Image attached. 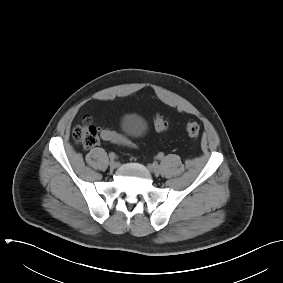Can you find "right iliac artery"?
Masks as SVG:
<instances>
[{
    "mask_svg": "<svg viewBox=\"0 0 283 283\" xmlns=\"http://www.w3.org/2000/svg\"><path fill=\"white\" fill-rule=\"evenodd\" d=\"M109 157H110L111 160L116 159V155H115V153H113V152H111V153L109 154Z\"/></svg>",
    "mask_w": 283,
    "mask_h": 283,
    "instance_id": "82829eb1",
    "label": "right iliac artery"
}]
</instances>
